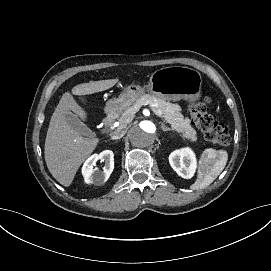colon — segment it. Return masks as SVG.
Returning a JSON list of instances; mask_svg holds the SVG:
<instances>
[{
	"label": "colon",
	"mask_w": 271,
	"mask_h": 271,
	"mask_svg": "<svg viewBox=\"0 0 271 271\" xmlns=\"http://www.w3.org/2000/svg\"><path fill=\"white\" fill-rule=\"evenodd\" d=\"M209 97H203L200 101L189 106L192 119L197 127L204 133L207 141L217 145H228L230 134L227 126L218 121L209 113Z\"/></svg>",
	"instance_id": "colon-1"
}]
</instances>
